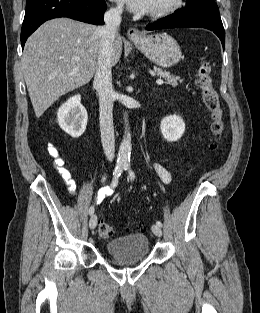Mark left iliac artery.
<instances>
[{
	"instance_id": "1",
	"label": "left iliac artery",
	"mask_w": 260,
	"mask_h": 313,
	"mask_svg": "<svg viewBox=\"0 0 260 313\" xmlns=\"http://www.w3.org/2000/svg\"><path fill=\"white\" fill-rule=\"evenodd\" d=\"M125 170H128V171H129V176H130V178H131V179H134L135 174H134V172L130 169V166H129L128 164L125 165ZM156 224H157L158 226L162 227V223H161L160 221H157Z\"/></svg>"
}]
</instances>
